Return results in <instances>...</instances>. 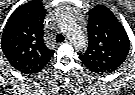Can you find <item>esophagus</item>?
<instances>
[{"label":"esophagus","mask_w":135,"mask_h":95,"mask_svg":"<svg viewBox=\"0 0 135 95\" xmlns=\"http://www.w3.org/2000/svg\"><path fill=\"white\" fill-rule=\"evenodd\" d=\"M66 44H69V43H71V41L69 40V39H65V41H64Z\"/></svg>","instance_id":"1"}]
</instances>
